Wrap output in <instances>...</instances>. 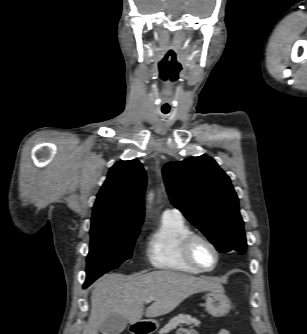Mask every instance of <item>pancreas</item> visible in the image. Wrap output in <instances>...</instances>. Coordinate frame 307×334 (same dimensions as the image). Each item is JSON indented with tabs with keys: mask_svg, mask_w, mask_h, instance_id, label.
Returning <instances> with one entry per match:
<instances>
[{
	"mask_svg": "<svg viewBox=\"0 0 307 334\" xmlns=\"http://www.w3.org/2000/svg\"><path fill=\"white\" fill-rule=\"evenodd\" d=\"M183 324L199 327L201 322L197 320L196 318L191 317L190 315L180 314L172 318L162 329L159 330L158 334L169 333L170 331L176 329L177 326H180Z\"/></svg>",
	"mask_w": 307,
	"mask_h": 334,
	"instance_id": "obj_1",
	"label": "pancreas"
}]
</instances>
